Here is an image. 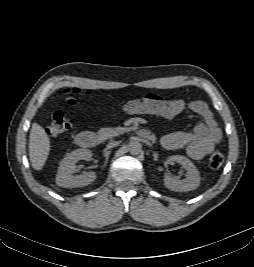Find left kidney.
Instances as JSON below:
<instances>
[{
  "instance_id": "1",
  "label": "left kidney",
  "mask_w": 254,
  "mask_h": 267,
  "mask_svg": "<svg viewBox=\"0 0 254 267\" xmlns=\"http://www.w3.org/2000/svg\"><path fill=\"white\" fill-rule=\"evenodd\" d=\"M169 163H179L186 169V178L177 180L169 175L164 178V185L176 192H188L195 190L199 187L201 177L198 169L190 159L181 155H173L168 158Z\"/></svg>"
}]
</instances>
